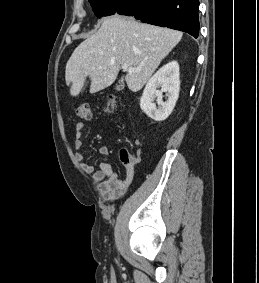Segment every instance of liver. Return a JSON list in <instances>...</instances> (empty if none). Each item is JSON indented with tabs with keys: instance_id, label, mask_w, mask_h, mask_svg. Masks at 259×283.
<instances>
[{
	"instance_id": "1",
	"label": "liver",
	"mask_w": 259,
	"mask_h": 283,
	"mask_svg": "<svg viewBox=\"0 0 259 283\" xmlns=\"http://www.w3.org/2000/svg\"><path fill=\"white\" fill-rule=\"evenodd\" d=\"M182 35L180 31L119 15L105 18L97 33L84 40L66 64L70 94L77 96L87 77L91 79V94L107 88L116 80L122 64L140 69L128 71L121 79L131 91H139Z\"/></svg>"
}]
</instances>
